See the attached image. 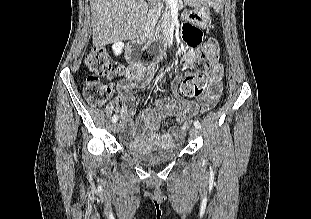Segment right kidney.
<instances>
[{"label":"right kidney","mask_w":311,"mask_h":219,"mask_svg":"<svg viewBox=\"0 0 311 219\" xmlns=\"http://www.w3.org/2000/svg\"><path fill=\"white\" fill-rule=\"evenodd\" d=\"M123 48H124V43L123 42H115L113 45H112V49L114 51V54L116 56L120 55L123 51Z\"/></svg>","instance_id":"ca27d5eb"}]
</instances>
